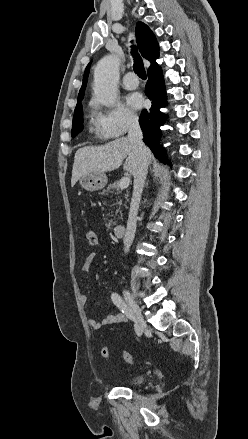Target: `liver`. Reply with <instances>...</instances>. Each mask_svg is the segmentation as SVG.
I'll return each instance as SVG.
<instances>
[{
    "label": "liver",
    "instance_id": "6515ba94",
    "mask_svg": "<svg viewBox=\"0 0 248 439\" xmlns=\"http://www.w3.org/2000/svg\"><path fill=\"white\" fill-rule=\"evenodd\" d=\"M148 160L152 159L151 151L146 148ZM131 175L138 167L139 154L134 143L128 137H121L102 146H87L75 153L72 169L71 186L90 172L113 171L122 165Z\"/></svg>",
    "mask_w": 248,
    "mask_h": 439
}]
</instances>
